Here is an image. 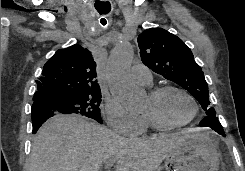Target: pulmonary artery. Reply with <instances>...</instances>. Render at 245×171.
<instances>
[{
    "label": "pulmonary artery",
    "mask_w": 245,
    "mask_h": 171,
    "mask_svg": "<svg viewBox=\"0 0 245 171\" xmlns=\"http://www.w3.org/2000/svg\"><path fill=\"white\" fill-rule=\"evenodd\" d=\"M130 76L134 82L144 86H151L152 73L148 67L143 64H134L130 71Z\"/></svg>",
    "instance_id": "obj_1"
}]
</instances>
